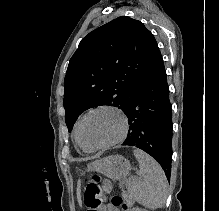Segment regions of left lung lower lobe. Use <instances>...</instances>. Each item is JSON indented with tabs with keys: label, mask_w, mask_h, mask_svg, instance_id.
Masks as SVG:
<instances>
[{
	"label": "left lung lower lobe",
	"mask_w": 219,
	"mask_h": 211,
	"mask_svg": "<svg viewBox=\"0 0 219 211\" xmlns=\"http://www.w3.org/2000/svg\"><path fill=\"white\" fill-rule=\"evenodd\" d=\"M163 60L138 84L124 111L129 131L123 145L151 155L170 180L172 158V109Z\"/></svg>",
	"instance_id": "0a47b994"
}]
</instances>
